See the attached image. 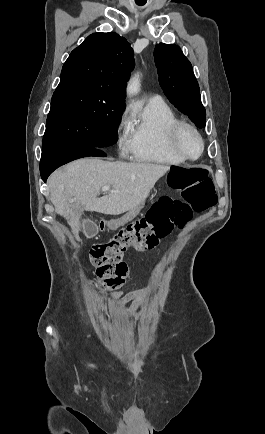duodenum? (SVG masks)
I'll return each instance as SVG.
<instances>
[{"label": "duodenum", "mask_w": 265, "mask_h": 434, "mask_svg": "<svg viewBox=\"0 0 265 434\" xmlns=\"http://www.w3.org/2000/svg\"><path fill=\"white\" fill-rule=\"evenodd\" d=\"M99 223H100V225H102V226H101V229H104V226H103V225H105V223H106L105 220L102 219V220H100Z\"/></svg>", "instance_id": "obj_1"}]
</instances>
